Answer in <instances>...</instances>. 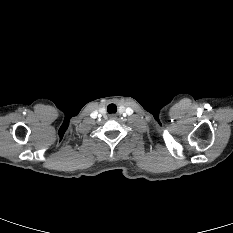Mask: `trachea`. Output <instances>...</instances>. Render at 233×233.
Listing matches in <instances>:
<instances>
[{"label": "trachea", "instance_id": "obj_1", "mask_svg": "<svg viewBox=\"0 0 233 233\" xmlns=\"http://www.w3.org/2000/svg\"><path fill=\"white\" fill-rule=\"evenodd\" d=\"M107 111H108V113H115L117 111L116 105L115 104L108 105Z\"/></svg>", "mask_w": 233, "mask_h": 233}]
</instances>
